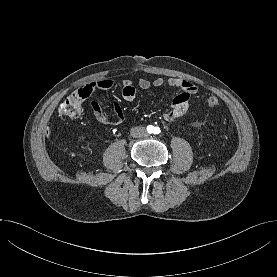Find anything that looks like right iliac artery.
Segmentation results:
<instances>
[{
	"mask_svg": "<svg viewBox=\"0 0 277 277\" xmlns=\"http://www.w3.org/2000/svg\"><path fill=\"white\" fill-rule=\"evenodd\" d=\"M153 130H154V127H153V126L149 125V126L147 127V131H148L149 133H152Z\"/></svg>",
	"mask_w": 277,
	"mask_h": 277,
	"instance_id": "1",
	"label": "right iliac artery"
}]
</instances>
